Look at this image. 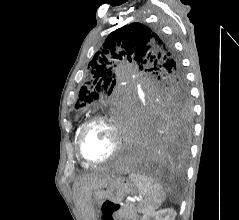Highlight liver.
I'll return each instance as SVG.
<instances>
[{
  "instance_id": "6515ba94",
  "label": "liver",
  "mask_w": 239,
  "mask_h": 220,
  "mask_svg": "<svg viewBox=\"0 0 239 220\" xmlns=\"http://www.w3.org/2000/svg\"><path fill=\"white\" fill-rule=\"evenodd\" d=\"M113 174L87 175L80 178L74 185V195L77 206L85 214L92 211V192L105 186Z\"/></svg>"
}]
</instances>
